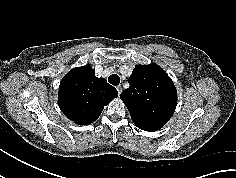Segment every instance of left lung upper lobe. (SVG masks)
I'll use <instances>...</instances> for the list:
<instances>
[{"label": "left lung upper lobe", "mask_w": 236, "mask_h": 178, "mask_svg": "<svg viewBox=\"0 0 236 178\" xmlns=\"http://www.w3.org/2000/svg\"><path fill=\"white\" fill-rule=\"evenodd\" d=\"M129 85L120 98L132 121L142 130H159L170 120L177 106V91L172 80L160 66L152 63L137 65Z\"/></svg>", "instance_id": "1"}]
</instances>
